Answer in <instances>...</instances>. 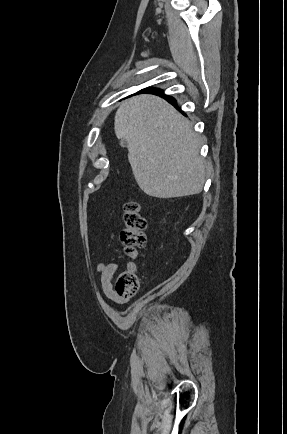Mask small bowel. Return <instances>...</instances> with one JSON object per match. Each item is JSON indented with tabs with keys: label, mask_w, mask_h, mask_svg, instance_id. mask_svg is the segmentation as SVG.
<instances>
[{
	"label": "small bowel",
	"mask_w": 287,
	"mask_h": 434,
	"mask_svg": "<svg viewBox=\"0 0 287 434\" xmlns=\"http://www.w3.org/2000/svg\"><path fill=\"white\" fill-rule=\"evenodd\" d=\"M110 239H113L111 235ZM131 267V265H128ZM119 269V264L117 262H101L97 265V271L99 273L100 285L104 294L116 303H124L126 299L117 296L113 290V277Z\"/></svg>",
	"instance_id": "1"
}]
</instances>
